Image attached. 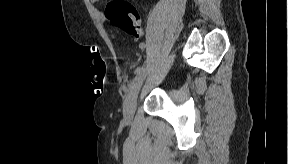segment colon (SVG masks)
Masks as SVG:
<instances>
[{"mask_svg": "<svg viewBox=\"0 0 288 164\" xmlns=\"http://www.w3.org/2000/svg\"><path fill=\"white\" fill-rule=\"evenodd\" d=\"M105 18L127 34L137 38H144V31L140 24L138 10L128 0H111L105 8Z\"/></svg>", "mask_w": 288, "mask_h": 164, "instance_id": "obj_1", "label": "colon"}]
</instances>
